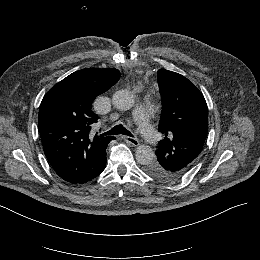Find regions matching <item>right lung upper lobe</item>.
<instances>
[{"instance_id":"1","label":"right lung upper lobe","mask_w":260,"mask_h":260,"mask_svg":"<svg viewBox=\"0 0 260 260\" xmlns=\"http://www.w3.org/2000/svg\"><path fill=\"white\" fill-rule=\"evenodd\" d=\"M119 78L117 69H82L44 96L38 119L41 141L50 165L65 181L79 183L105 168L106 148L115 137H92L98 116L91 107Z\"/></svg>"}]
</instances>
